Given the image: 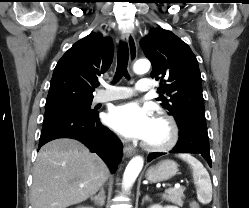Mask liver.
Instances as JSON below:
<instances>
[{"label": "liver", "mask_w": 249, "mask_h": 208, "mask_svg": "<svg viewBox=\"0 0 249 208\" xmlns=\"http://www.w3.org/2000/svg\"><path fill=\"white\" fill-rule=\"evenodd\" d=\"M108 177L109 169L102 159L79 141L52 140L40 149L34 165L32 208H67L81 203Z\"/></svg>", "instance_id": "6515ba94"}]
</instances>
